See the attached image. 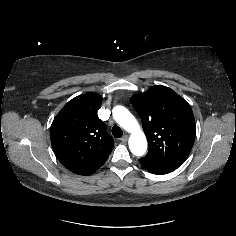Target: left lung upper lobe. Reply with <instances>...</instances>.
I'll list each match as a JSON object with an SVG mask.
<instances>
[{"label": "left lung upper lobe", "mask_w": 236, "mask_h": 236, "mask_svg": "<svg viewBox=\"0 0 236 236\" xmlns=\"http://www.w3.org/2000/svg\"><path fill=\"white\" fill-rule=\"evenodd\" d=\"M131 103L149 143L147 155L140 160L154 167L178 168L187 159L196 135L190 105L165 86L134 95Z\"/></svg>", "instance_id": "left-lung-upper-lobe-1"}]
</instances>
